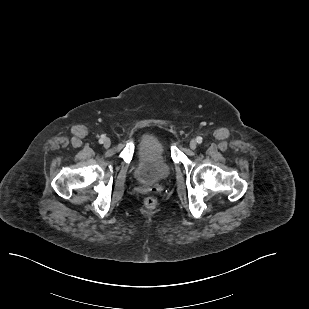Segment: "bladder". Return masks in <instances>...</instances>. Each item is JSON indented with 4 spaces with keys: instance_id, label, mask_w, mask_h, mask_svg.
Listing matches in <instances>:
<instances>
[{
    "instance_id": "obj_1",
    "label": "bladder",
    "mask_w": 309,
    "mask_h": 309,
    "mask_svg": "<svg viewBox=\"0 0 309 309\" xmlns=\"http://www.w3.org/2000/svg\"><path fill=\"white\" fill-rule=\"evenodd\" d=\"M171 171L162 142L155 136H144L137 147L135 178L142 183H156L166 179Z\"/></svg>"
}]
</instances>
